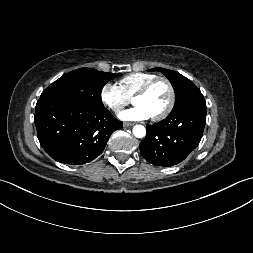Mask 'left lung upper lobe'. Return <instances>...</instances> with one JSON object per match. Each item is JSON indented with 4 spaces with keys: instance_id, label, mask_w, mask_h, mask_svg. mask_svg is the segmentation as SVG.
<instances>
[{
    "instance_id": "5c2ea615",
    "label": "left lung upper lobe",
    "mask_w": 253,
    "mask_h": 253,
    "mask_svg": "<svg viewBox=\"0 0 253 253\" xmlns=\"http://www.w3.org/2000/svg\"><path fill=\"white\" fill-rule=\"evenodd\" d=\"M148 71H159L163 73L171 82L175 95H176V101L174 107H176L178 104H180L183 99L187 96V94L196 87L188 78L181 75L178 72L168 70L165 68H153Z\"/></svg>"
}]
</instances>
